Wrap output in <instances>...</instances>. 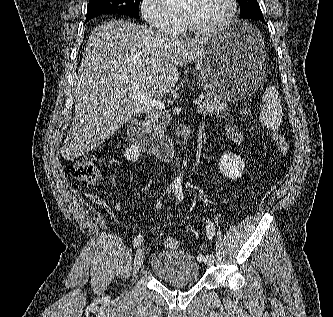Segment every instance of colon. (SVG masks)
Wrapping results in <instances>:
<instances>
[{
    "label": "colon",
    "mask_w": 333,
    "mask_h": 317,
    "mask_svg": "<svg viewBox=\"0 0 333 317\" xmlns=\"http://www.w3.org/2000/svg\"><path fill=\"white\" fill-rule=\"evenodd\" d=\"M241 115L249 117L251 115V110L247 108L243 109L241 110ZM268 136L275 143L279 154L283 157L287 156L289 153V143L287 139L282 134L275 131L269 132ZM67 171L74 179L92 185H95L100 179V173L96 165L88 159L74 161L67 167ZM162 244L168 249H178L180 246L179 240L175 238H165Z\"/></svg>",
    "instance_id": "obj_1"
}]
</instances>
